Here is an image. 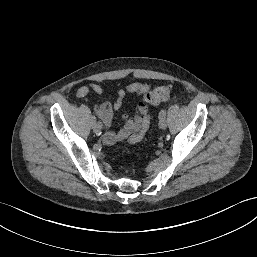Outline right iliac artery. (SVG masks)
Returning <instances> with one entry per match:
<instances>
[{"instance_id":"1","label":"right iliac artery","mask_w":257,"mask_h":257,"mask_svg":"<svg viewBox=\"0 0 257 257\" xmlns=\"http://www.w3.org/2000/svg\"><path fill=\"white\" fill-rule=\"evenodd\" d=\"M91 121H92V124H95V123H96V117H95L94 114H93L92 117H91Z\"/></svg>"}]
</instances>
